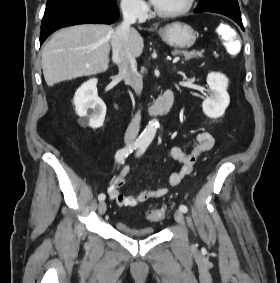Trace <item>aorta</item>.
<instances>
[{
	"mask_svg": "<svg viewBox=\"0 0 280 283\" xmlns=\"http://www.w3.org/2000/svg\"><path fill=\"white\" fill-rule=\"evenodd\" d=\"M158 126L159 122L157 119L149 121L148 125L140 136V142L149 144L154 139Z\"/></svg>",
	"mask_w": 280,
	"mask_h": 283,
	"instance_id": "1",
	"label": "aorta"
}]
</instances>
